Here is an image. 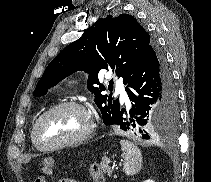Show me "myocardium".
<instances>
[{"label": "myocardium", "mask_w": 211, "mask_h": 182, "mask_svg": "<svg viewBox=\"0 0 211 182\" xmlns=\"http://www.w3.org/2000/svg\"><path fill=\"white\" fill-rule=\"evenodd\" d=\"M62 108H75V109L82 111L86 115L87 120H88L86 129L84 130V132L82 134H80L79 136H76L74 138H71V139H68L65 141H61V142H58L55 144H51V145H41L38 140V137H37V130H38L40 123L47 116H49L50 114H52L55 111L60 110ZM94 127H95L94 118L86 106H84L81 103L75 102V101H63V102L53 105L52 107L47 109L45 112H43L36 119V121L33 124L32 130H31V138H32L33 143L35 144V146L38 149L54 150V149L65 147V146H71V145H77V144L83 143L92 135V133L94 131Z\"/></svg>", "instance_id": "obj_1"}]
</instances>
